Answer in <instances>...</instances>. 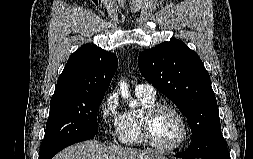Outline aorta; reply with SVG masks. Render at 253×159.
<instances>
[{"instance_id": "1", "label": "aorta", "mask_w": 253, "mask_h": 159, "mask_svg": "<svg viewBox=\"0 0 253 159\" xmlns=\"http://www.w3.org/2000/svg\"><path fill=\"white\" fill-rule=\"evenodd\" d=\"M119 87H120L119 91H120L121 97L129 100V106L131 108L136 107L137 102H136V100H132V98H131V95L129 92V85L125 81H121L119 83Z\"/></svg>"}]
</instances>
